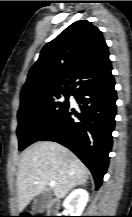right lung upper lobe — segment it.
I'll use <instances>...</instances> for the list:
<instances>
[{"label":"right lung upper lobe","instance_id":"1","mask_svg":"<svg viewBox=\"0 0 132 217\" xmlns=\"http://www.w3.org/2000/svg\"><path fill=\"white\" fill-rule=\"evenodd\" d=\"M112 66L101 31L76 21L47 43L22 88L26 96L76 93L109 80Z\"/></svg>","mask_w":132,"mask_h":217}]
</instances>
